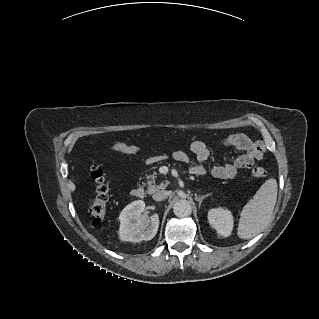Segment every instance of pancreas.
I'll use <instances>...</instances> for the list:
<instances>
[{"label": "pancreas", "instance_id": "1", "mask_svg": "<svg viewBox=\"0 0 319 319\" xmlns=\"http://www.w3.org/2000/svg\"><path fill=\"white\" fill-rule=\"evenodd\" d=\"M150 180L147 181V185H148V189L147 192L149 194H153L154 192L158 191V190H163L168 186V182H162L159 185L155 184V175H151Z\"/></svg>", "mask_w": 319, "mask_h": 319}]
</instances>
